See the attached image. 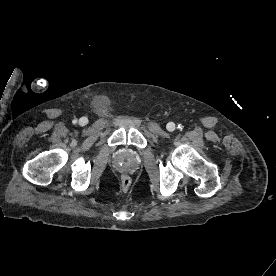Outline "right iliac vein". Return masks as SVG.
<instances>
[{
	"mask_svg": "<svg viewBox=\"0 0 276 276\" xmlns=\"http://www.w3.org/2000/svg\"><path fill=\"white\" fill-rule=\"evenodd\" d=\"M88 123V119L86 117H82L80 120H79V124L81 126H84Z\"/></svg>",
	"mask_w": 276,
	"mask_h": 276,
	"instance_id": "1",
	"label": "right iliac vein"
}]
</instances>
